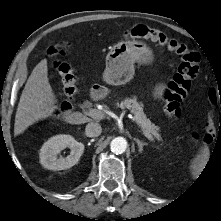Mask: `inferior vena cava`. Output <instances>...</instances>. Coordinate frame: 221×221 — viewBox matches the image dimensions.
I'll return each instance as SVG.
<instances>
[{"label": "inferior vena cava", "mask_w": 221, "mask_h": 221, "mask_svg": "<svg viewBox=\"0 0 221 221\" xmlns=\"http://www.w3.org/2000/svg\"><path fill=\"white\" fill-rule=\"evenodd\" d=\"M102 128L99 123L90 122L86 125L85 133L88 137H97L101 134Z\"/></svg>", "instance_id": "602c4592"}]
</instances>
